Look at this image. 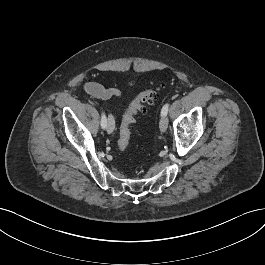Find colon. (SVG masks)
Returning <instances> with one entry per match:
<instances>
[{
	"label": "colon",
	"instance_id": "obj_1",
	"mask_svg": "<svg viewBox=\"0 0 265 265\" xmlns=\"http://www.w3.org/2000/svg\"><path fill=\"white\" fill-rule=\"evenodd\" d=\"M158 97L156 89H148L141 92L130 104L123 115L122 123L119 130L117 146L120 151H124L129 144L131 137L130 127L135 121V115L146 110V104H152Z\"/></svg>",
	"mask_w": 265,
	"mask_h": 265
}]
</instances>
